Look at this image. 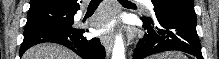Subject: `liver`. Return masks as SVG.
Here are the masks:
<instances>
[{
  "mask_svg": "<svg viewBox=\"0 0 219 59\" xmlns=\"http://www.w3.org/2000/svg\"><path fill=\"white\" fill-rule=\"evenodd\" d=\"M22 59H80L69 49L51 43H43L27 50Z\"/></svg>",
  "mask_w": 219,
  "mask_h": 59,
  "instance_id": "6515ba94",
  "label": "liver"
}]
</instances>
